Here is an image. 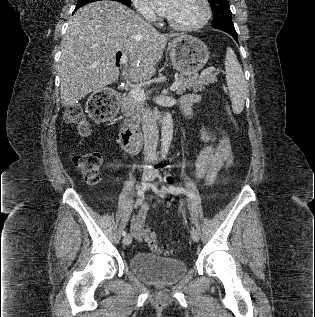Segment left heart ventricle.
Wrapping results in <instances>:
<instances>
[{
	"label": "left heart ventricle",
	"instance_id": "left-heart-ventricle-1",
	"mask_svg": "<svg viewBox=\"0 0 315 317\" xmlns=\"http://www.w3.org/2000/svg\"><path fill=\"white\" fill-rule=\"evenodd\" d=\"M204 15L201 0H175L171 12L167 15L178 24H194Z\"/></svg>",
	"mask_w": 315,
	"mask_h": 317
}]
</instances>
